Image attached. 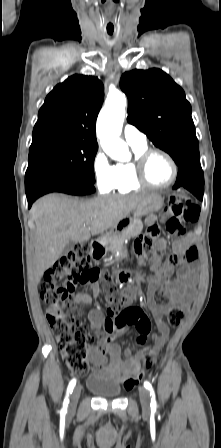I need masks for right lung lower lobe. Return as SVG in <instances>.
<instances>
[{
	"label": "right lung lower lobe",
	"mask_w": 221,
	"mask_h": 448,
	"mask_svg": "<svg viewBox=\"0 0 221 448\" xmlns=\"http://www.w3.org/2000/svg\"><path fill=\"white\" fill-rule=\"evenodd\" d=\"M25 191L28 207L40 196L50 192H63L71 195H86L93 193V184H78L52 175L39 174L25 177Z\"/></svg>",
	"instance_id": "right-lung-lower-lobe-1"
}]
</instances>
